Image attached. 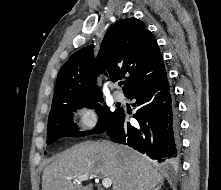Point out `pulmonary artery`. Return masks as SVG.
Here are the masks:
<instances>
[{
    "label": "pulmonary artery",
    "instance_id": "1",
    "mask_svg": "<svg viewBox=\"0 0 221 190\" xmlns=\"http://www.w3.org/2000/svg\"><path fill=\"white\" fill-rule=\"evenodd\" d=\"M113 97L116 101H122L124 99V94L121 91L116 90L113 93Z\"/></svg>",
    "mask_w": 221,
    "mask_h": 190
}]
</instances>
